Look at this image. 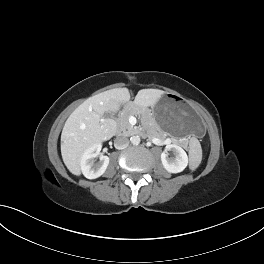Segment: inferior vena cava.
Listing matches in <instances>:
<instances>
[{"mask_svg":"<svg viewBox=\"0 0 264 264\" xmlns=\"http://www.w3.org/2000/svg\"><path fill=\"white\" fill-rule=\"evenodd\" d=\"M129 145V139L125 136H118L114 140V146L116 149H124Z\"/></svg>","mask_w":264,"mask_h":264,"instance_id":"1","label":"inferior vena cava"}]
</instances>
